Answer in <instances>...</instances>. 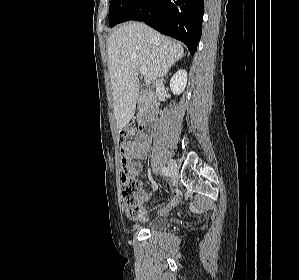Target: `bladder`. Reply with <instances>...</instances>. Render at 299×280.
<instances>
[{
	"label": "bladder",
	"instance_id": "obj_1",
	"mask_svg": "<svg viewBox=\"0 0 299 280\" xmlns=\"http://www.w3.org/2000/svg\"><path fill=\"white\" fill-rule=\"evenodd\" d=\"M167 227H168V223L165 219L157 218L150 223L149 229L151 231H161L166 229Z\"/></svg>",
	"mask_w": 299,
	"mask_h": 280
}]
</instances>
